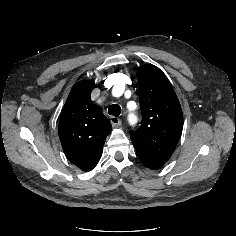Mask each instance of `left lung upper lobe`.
<instances>
[{
	"mask_svg": "<svg viewBox=\"0 0 236 236\" xmlns=\"http://www.w3.org/2000/svg\"><path fill=\"white\" fill-rule=\"evenodd\" d=\"M142 122L131 133L137 154L166 162L180 139L183 114L169 80L154 65L138 70Z\"/></svg>",
	"mask_w": 236,
	"mask_h": 236,
	"instance_id": "5c2ea615",
	"label": "left lung upper lobe"
}]
</instances>
